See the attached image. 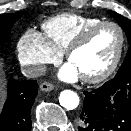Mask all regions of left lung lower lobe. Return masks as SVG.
<instances>
[{
	"label": "left lung lower lobe",
	"mask_w": 131,
	"mask_h": 131,
	"mask_svg": "<svg viewBox=\"0 0 131 131\" xmlns=\"http://www.w3.org/2000/svg\"><path fill=\"white\" fill-rule=\"evenodd\" d=\"M84 94L78 131H131V74L115 76Z\"/></svg>",
	"instance_id": "0a47b994"
}]
</instances>
